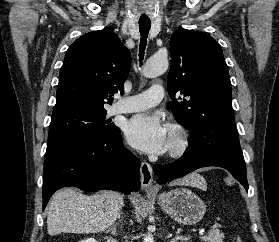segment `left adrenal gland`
<instances>
[{"instance_id":"a2214340","label":"left adrenal gland","mask_w":279,"mask_h":242,"mask_svg":"<svg viewBox=\"0 0 279 242\" xmlns=\"http://www.w3.org/2000/svg\"><path fill=\"white\" fill-rule=\"evenodd\" d=\"M178 240L187 241L188 238L186 236L176 235L170 242H177Z\"/></svg>"}]
</instances>
